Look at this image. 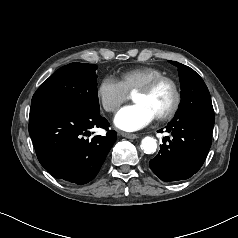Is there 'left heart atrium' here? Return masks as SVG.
Returning a JSON list of instances; mask_svg holds the SVG:
<instances>
[{
    "instance_id": "39dd6f15",
    "label": "left heart atrium",
    "mask_w": 238,
    "mask_h": 238,
    "mask_svg": "<svg viewBox=\"0 0 238 238\" xmlns=\"http://www.w3.org/2000/svg\"><path fill=\"white\" fill-rule=\"evenodd\" d=\"M156 115L146 105L134 103L121 108L114 118V124L123 131H137L150 124Z\"/></svg>"
}]
</instances>
